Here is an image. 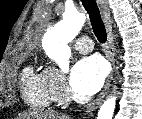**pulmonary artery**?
<instances>
[{
  "mask_svg": "<svg viewBox=\"0 0 142 119\" xmlns=\"http://www.w3.org/2000/svg\"><path fill=\"white\" fill-rule=\"evenodd\" d=\"M74 46L79 53H88L93 50V42L88 37L78 38Z\"/></svg>",
  "mask_w": 142,
  "mask_h": 119,
  "instance_id": "e3ab8cb5",
  "label": "pulmonary artery"
}]
</instances>
